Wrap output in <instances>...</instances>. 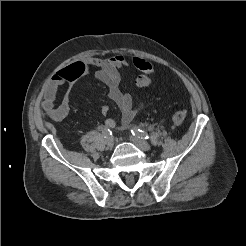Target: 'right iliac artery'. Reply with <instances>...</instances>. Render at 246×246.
I'll list each match as a JSON object with an SVG mask.
<instances>
[{"label": "right iliac artery", "instance_id": "82829eb1", "mask_svg": "<svg viewBox=\"0 0 246 246\" xmlns=\"http://www.w3.org/2000/svg\"><path fill=\"white\" fill-rule=\"evenodd\" d=\"M103 135H104L105 138H107V137H109L110 135H112V132H111V130H110L109 128L105 127V128L103 129Z\"/></svg>", "mask_w": 246, "mask_h": 246}]
</instances>
